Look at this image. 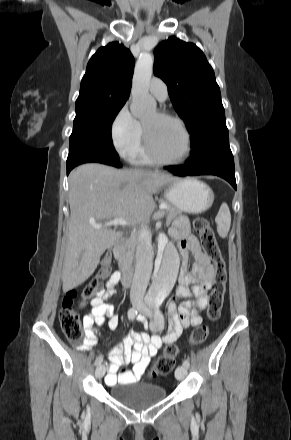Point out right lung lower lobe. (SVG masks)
<instances>
[{"instance_id":"1","label":"right lung lower lobe","mask_w":291,"mask_h":440,"mask_svg":"<svg viewBox=\"0 0 291 440\" xmlns=\"http://www.w3.org/2000/svg\"><path fill=\"white\" fill-rule=\"evenodd\" d=\"M88 162H97V163L111 165L114 167H121L119 158L110 155L109 153L98 150L80 148L69 152L66 162L67 175L74 167Z\"/></svg>"}]
</instances>
